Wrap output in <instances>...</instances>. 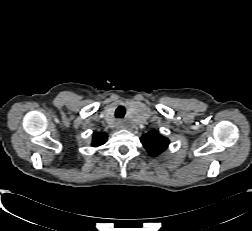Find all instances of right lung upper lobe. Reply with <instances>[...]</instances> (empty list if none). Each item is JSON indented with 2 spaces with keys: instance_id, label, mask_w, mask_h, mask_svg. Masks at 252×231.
Returning a JSON list of instances; mask_svg holds the SVG:
<instances>
[{
  "instance_id": "right-lung-upper-lobe-1",
  "label": "right lung upper lobe",
  "mask_w": 252,
  "mask_h": 231,
  "mask_svg": "<svg viewBox=\"0 0 252 231\" xmlns=\"http://www.w3.org/2000/svg\"><path fill=\"white\" fill-rule=\"evenodd\" d=\"M106 140H107V134H105V133H97L93 137L92 145L94 147H98V146L104 144L106 142Z\"/></svg>"
}]
</instances>
